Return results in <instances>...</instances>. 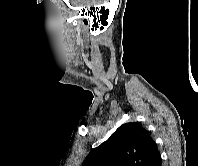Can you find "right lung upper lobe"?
Instances as JSON below:
<instances>
[{
    "instance_id": "1",
    "label": "right lung upper lobe",
    "mask_w": 198,
    "mask_h": 166,
    "mask_svg": "<svg viewBox=\"0 0 198 166\" xmlns=\"http://www.w3.org/2000/svg\"><path fill=\"white\" fill-rule=\"evenodd\" d=\"M158 154L148 131L140 123L130 122L94 148L82 166H148Z\"/></svg>"
}]
</instances>
